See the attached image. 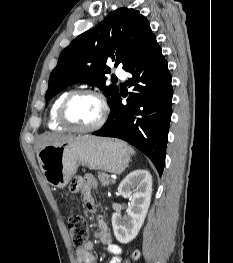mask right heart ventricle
Returning <instances> with one entry per match:
<instances>
[{
    "label": "right heart ventricle",
    "mask_w": 233,
    "mask_h": 263,
    "mask_svg": "<svg viewBox=\"0 0 233 263\" xmlns=\"http://www.w3.org/2000/svg\"><path fill=\"white\" fill-rule=\"evenodd\" d=\"M71 91H64L59 94L51 104L48 116V127L54 131L65 130V127L58 121V109L63 99L70 94Z\"/></svg>",
    "instance_id": "e07e8e85"
}]
</instances>
